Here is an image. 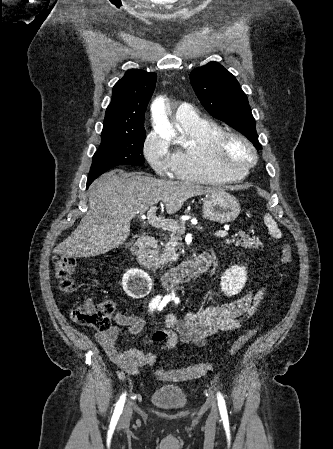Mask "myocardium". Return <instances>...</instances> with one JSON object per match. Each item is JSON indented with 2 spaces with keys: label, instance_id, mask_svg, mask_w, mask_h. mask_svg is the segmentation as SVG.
Instances as JSON below:
<instances>
[{
  "label": "myocardium",
  "instance_id": "f54148a6",
  "mask_svg": "<svg viewBox=\"0 0 333 449\" xmlns=\"http://www.w3.org/2000/svg\"><path fill=\"white\" fill-rule=\"evenodd\" d=\"M233 144L242 146L249 155L247 160L238 165H230L227 162ZM207 150L211 168L224 177L242 179L258 161L256 148L251 141L236 132L222 131L209 141Z\"/></svg>",
  "mask_w": 333,
  "mask_h": 449
}]
</instances>
